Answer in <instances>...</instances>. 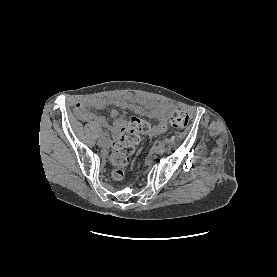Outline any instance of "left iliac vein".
I'll return each instance as SVG.
<instances>
[{
    "label": "left iliac vein",
    "mask_w": 277,
    "mask_h": 277,
    "mask_svg": "<svg viewBox=\"0 0 277 277\" xmlns=\"http://www.w3.org/2000/svg\"><path fill=\"white\" fill-rule=\"evenodd\" d=\"M154 152H155L156 154H159V155L163 154V153L165 152V146L162 145V144H159L158 146H156V147L154 148Z\"/></svg>",
    "instance_id": "4c4485c4"
}]
</instances>
